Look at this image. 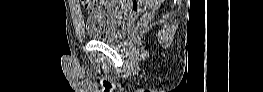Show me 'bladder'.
<instances>
[{
    "instance_id": "obj_1",
    "label": "bladder",
    "mask_w": 263,
    "mask_h": 92,
    "mask_svg": "<svg viewBox=\"0 0 263 92\" xmlns=\"http://www.w3.org/2000/svg\"><path fill=\"white\" fill-rule=\"evenodd\" d=\"M136 18L134 10L109 5L87 16L84 27L91 39L113 42L133 27Z\"/></svg>"
}]
</instances>
